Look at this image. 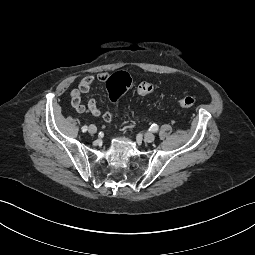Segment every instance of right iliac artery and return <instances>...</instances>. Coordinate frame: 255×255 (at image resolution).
I'll return each instance as SVG.
<instances>
[{
  "label": "right iliac artery",
  "instance_id": "1",
  "mask_svg": "<svg viewBox=\"0 0 255 255\" xmlns=\"http://www.w3.org/2000/svg\"><path fill=\"white\" fill-rule=\"evenodd\" d=\"M81 129L83 132H86L88 130V127L86 125H84Z\"/></svg>",
  "mask_w": 255,
  "mask_h": 255
}]
</instances>
